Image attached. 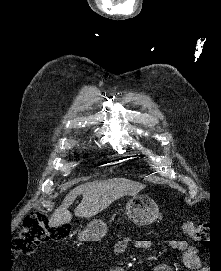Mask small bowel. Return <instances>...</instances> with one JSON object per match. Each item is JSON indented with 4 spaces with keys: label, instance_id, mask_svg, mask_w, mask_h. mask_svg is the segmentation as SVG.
<instances>
[{
    "label": "small bowel",
    "instance_id": "small-bowel-1",
    "mask_svg": "<svg viewBox=\"0 0 221 271\" xmlns=\"http://www.w3.org/2000/svg\"><path fill=\"white\" fill-rule=\"evenodd\" d=\"M168 243L172 248L182 253V262L185 267L191 270H198L200 268L198 249L196 247L191 246L186 241L180 239H173L168 241ZM129 245L144 251L153 248V242L151 240L126 237L115 244L114 253L116 255L123 253ZM109 271H124V269L114 266L110 267ZM153 271H176V269L168 264H157L154 266Z\"/></svg>",
    "mask_w": 221,
    "mask_h": 271
}]
</instances>
